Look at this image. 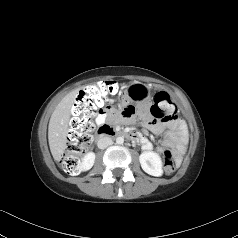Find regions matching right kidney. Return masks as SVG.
<instances>
[{"label": "right kidney", "instance_id": "1", "mask_svg": "<svg viewBox=\"0 0 238 238\" xmlns=\"http://www.w3.org/2000/svg\"><path fill=\"white\" fill-rule=\"evenodd\" d=\"M94 161H95V153L93 152L87 153L82 159L81 169L83 171L91 169L92 166L94 165Z\"/></svg>", "mask_w": 238, "mask_h": 238}]
</instances>
